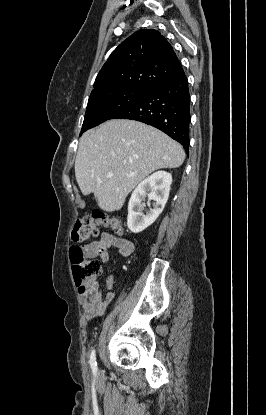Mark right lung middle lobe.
I'll list each match as a JSON object with an SVG mask.
<instances>
[{"instance_id": "obj_1", "label": "right lung middle lobe", "mask_w": 266, "mask_h": 415, "mask_svg": "<svg viewBox=\"0 0 266 415\" xmlns=\"http://www.w3.org/2000/svg\"><path fill=\"white\" fill-rule=\"evenodd\" d=\"M148 92L146 89L115 88L90 95L81 134L140 101Z\"/></svg>"}]
</instances>
